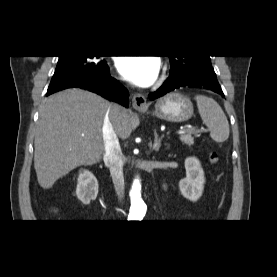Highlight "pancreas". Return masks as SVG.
<instances>
[{
    "instance_id": "cf45deb5",
    "label": "pancreas",
    "mask_w": 277,
    "mask_h": 277,
    "mask_svg": "<svg viewBox=\"0 0 277 277\" xmlns=\"http://www.w3.org/2000/svg\"><path fill=\"white\" fill-rule=\"evenodd\" d=\"M180 140L183 144L188 146H192L194 144V138L191 136V133L181 135Z\"/></svg>"
}]
</instances>
